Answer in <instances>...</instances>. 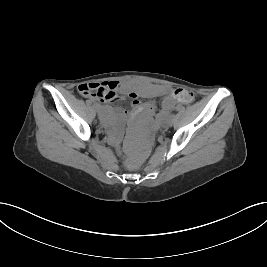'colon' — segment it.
<instances>
[{"label":"colon","instance_id":"1","mask_svg":"<svg viewBox=\"0 0 267 267\" xmlns=\"http://www.w3.org/2000/svg\"><path fill=\"white\" fill-rule=\"evenodd\" d=\"M80 94L84 97H98L107 101H112L117 98L116 89L106 87L103 83H100V85L86 83L81 88ZM173 94L176 101L183 104H189L195 98V94L192 91L182 88L176 89Z\"/></svg>","mask_w":267,"mask_h":267}]
</instances>
